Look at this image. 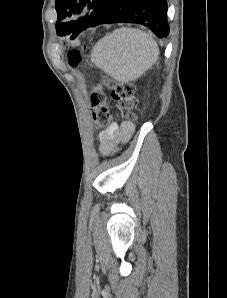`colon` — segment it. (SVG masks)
Segmentation results:
<instances>
[{
    "instance_id": "obj_1",
    "label": "colon",
    "mask_w": 227,
    "mask_h": 298,
    "mask_svg": "<svg viewBox=\"0 0 227 298\" xmlns=\"http://www.w3.org/2000/svg\"><path fill=\"white\" fill-rule=\"evenodd\" d=\"M68 60L72 67H76L81 56L78 49H68ZM106 86L110 90L111 97L117 101L119 108L128 117L134 119V110L137 107L138 100L135 96V86L130 82L106 80ZM91 104L95 107L93 120L97 125H108L112 120V115L106 105V96L101 91H95L91 94Z\"/></svg>"
}]
</instances>
